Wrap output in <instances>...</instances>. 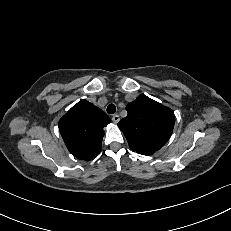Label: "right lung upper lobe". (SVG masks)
Masks as SVG:
<instances>
[{"label":"right lung upper lobe","instance_id":"1","mask_svg":"<svg viewBox=\"0 0 231 231\" xmlns=\"http://www.w3.org/2000/svg\"><path fill=\"white\" fill-rule=\"evenodd\" d=\"M110 118L86 100L75 104L59 121V130L69 150L81 160L95 157L101 150L103 128Z\"/></svg>","mask_w":231,"mask_h":231}]
</instances>
